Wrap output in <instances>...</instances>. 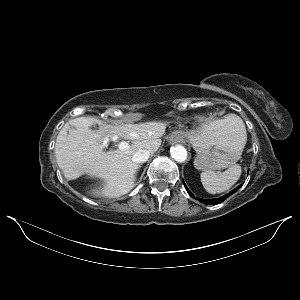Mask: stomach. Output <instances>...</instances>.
Instances as JSON below:
<instances>
[{
  "label": "stomach",
  "instance_id": "0dacf381",
  "mask_svg": "<svg viewBox=\"0 0 300 300\" xmlns=\"http://www.w3.org/2000/svg\"><path fill=\"white\" fill-rule=\"evenodd\" d=\"M188 140L197 155L194 165L198 170L215 171L235 164L244 149L243 135L232 120H214L193 132H177Z\"/></svg>",
  "mask_w": 300,
  "mask_h": 300
}]
</instances>
